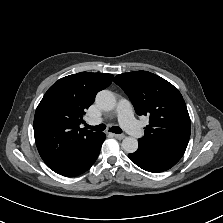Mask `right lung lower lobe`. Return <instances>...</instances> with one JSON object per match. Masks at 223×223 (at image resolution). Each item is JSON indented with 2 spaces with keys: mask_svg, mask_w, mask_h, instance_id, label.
Returning a JSON list of instances; mask_svg holds the SVG:
<instances>
[{
  "mask_svg": "<svg viewBox=\"0 0 223 223\" xmlns=\"http://www.w3.org/2000/svg\"><path fill=\"white\" fill-rule=\"evenodd\" d=\"M105 140V134L104 133H100L98 136V139L96 140L94 146L92 147L90 153L87 155V157L84 159V161L75 169H73L72 171L62 174L63 176H68V177H73V176H77L82 174L83 172H85L86 170H88L96 161L100 149H101V145Z\"/></svg>",
  "mask_w": 223,
  "mask_h": 223,
  "instance_id": "1",
  "label": "right lung lower lobe"
}]
</instances>
